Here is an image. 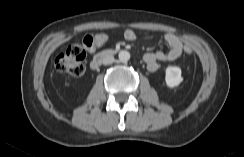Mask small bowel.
<instances>
[{
	"instance_id": "small-bowel-1",
	"label": "small bowel",
	"mask_w": 244,
	"mask_h": 157,
	"mask_svg": "<svg viewBox=\"0 0 244 157\" xmlns=\"http://www.w3.org/2000/svg\"><path fill=\"white\" fill-rule=\"evenodd\" d=\"M124 38L127 41H135L137 39V34L135 31L128 29L124 33ZM164 40L169 47L167 52L156 51L144 55V62L150 72L158 71L161 68L162 62L175 61L182 54L183 45L176 35L167 33L164 36Z\"/></svg>"
}]
</instances>
